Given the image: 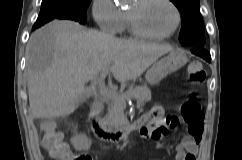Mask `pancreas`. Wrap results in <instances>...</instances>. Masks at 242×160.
<instances>
[{"label":"pancreas","mask_w":242,"mask_h":160,"mask_svg":"<svg viewBox=\"0 0 242 160\" xmlns=\"http://www.w3.org/2000/svg\"><path fill=\"white\" fill-rule=\"evenodd\" d=\"M135 99L137 103L143 104L151 100V91L145 86L131 87L126 93L118 95L116 99L111 98V102L108 104V113L104 120L105 122L114 128H119L127 124V117L124 114L126 108V100Z\"/></svg>","instance_id":"cf45deb5"}]
</instances>
